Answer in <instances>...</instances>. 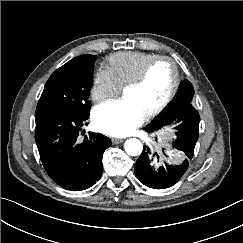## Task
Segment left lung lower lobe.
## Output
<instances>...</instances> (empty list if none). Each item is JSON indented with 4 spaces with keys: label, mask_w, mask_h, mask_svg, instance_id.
I'll list each match as a JSON object with an SVG mask.
<instances>
[{
    "label": "left lung lower lobe",
    "mask_w": 243,
    "mask_h": 243,
    "mask_svg": "<svg viewBox=\"0 0 243 243\" xmlns=\"http://www.w3.org/2000/svg\"><path fill=\"white\" fill-rule=\"evenodd\" d=\"M176 113L172 115L175 116V119L173 117L168 118L166 125L176 120L179 122L181 118H184L185 122L182 121L176 127L177 139L173 142V148L179 150L185 160L179 165H170L164 162L163 166L154 168V162L158 164L161 158L157 153H152L148 147H145L135 164V175L147 187L165 189L173 186L186 172L189 166L188 161L193 157L195 144L199 136L200 116L191 103L178 105ZM160 128L157 123H154L149 124L145 130L152 133Z\"/></svg>",
    "instance_id": "obj_1"
}]
</instances>
